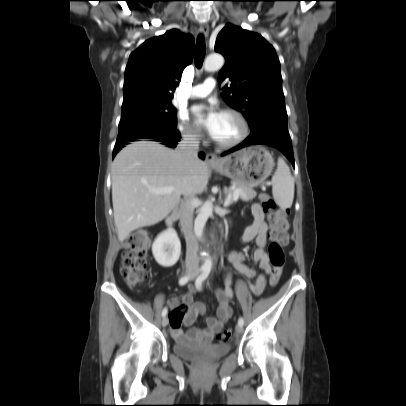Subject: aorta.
I'll list each match as a JSON object with an SVG mask.
<instances>
[{
  "label": "aorta",
  "mask_w": 406,
  "mask_h": 406,
  "mask_svg": "<svg viewBox=\"0 0 406 406\" xmlns=\"http://www.w3.org/2000/svg\"><path fill=\"white\" fill-rule=\"evenodd\" d=\"M224 65V58L220 54H211L209 55L205 62H204V69L206 71H216L222 68ZM212 214V202L207 201L202 208L200 209V212L198 216L195 219L194 223V232L197 238L201 239L203 237V229L206 224V221L208 217ZM203 269L205 270H210L212 267V260L211 259H206L204 264H203Z\"/></svg>",
  "instance_id": "762f6f07"
}]
</instances>
